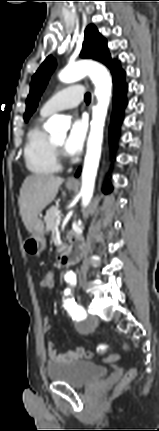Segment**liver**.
I'll list each match as a JSON object with an SVG mask.
<instances>
[{"label":"liver","instance_id":"obj_1","mask_svg":"<svg viewBox=\"0 0 159 431\" xmlns=\"http://www.w3.org/2000/svg\"><path fill=\"white\" fill-rule=\"evenodd\" d=\"M63 182V178L54 175L35 174L25 178L18 204L22 221L29 232H32L38 215L54 200Z\"/></svg>","mask_w":159,"mask_h":431}]
</instances>
